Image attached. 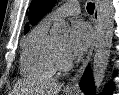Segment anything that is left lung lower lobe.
Returning a JSON list of instances; mask_svg holds the SVG:
<instances>
[{
  "instance_id": "left-lung-lower-lobe-1",
  "label": "left lung lower lobe",
  "mask_w": 119,
  "mask_h": 95,
  "mask_svg": "<svg viewBox=\"0 0 119 95\" xmlns=\"http://www.w3.org/2000/svg\"><path fill=\"white\" fill-rule=\"evenodd\" d=\"M79 85H80V88L82 89V91L85 93V95H93L94 94V83H93V79H92L90 70L87 69L85 71ZM112 89H113V83H110L107 86V90H106V92L103 93V95H110Z\"/></svg>"
}]
</instances>
